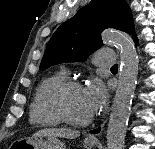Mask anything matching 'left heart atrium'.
I'll use <instances>...</instances> for the list:
<instances>
[{"mask_svg":"<svg viewBox=\"0 0 155 149\" xmlns=\"http://www.w3.org/2000/svg\"><path fill=\"white\" fill-rule=\"evenodd\" d=\"M85 102L91 115L100 111L107 103V92L99 80H93L83 89Z\"/></svg>","mask_w":155,"mask_h":149,"instance_id":"1","label":"left heart atrium"}]
</instances>
